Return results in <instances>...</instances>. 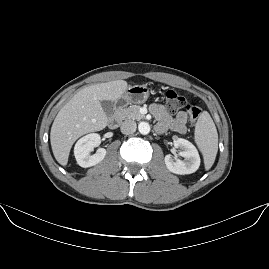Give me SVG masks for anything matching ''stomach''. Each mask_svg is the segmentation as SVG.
I'll use <instances>...</instances> for the list:
<instances>
[{"label": "stomach", "mask_w": 269, "mask_h": 269, "mask_svg": "<svg viewBox=\"0 0 269 269\" xmlns=\"http://www.w3.org/2000/svg\"><path fill=\"white\" fill-rule=\"evenodd\" d=\"M149 97V89L146 85L129 86L128 89L122 94V104L120 107H125L129 104L144 103Z\"/></svg>", "instance_id": "0dacf381"}]
</instances>
